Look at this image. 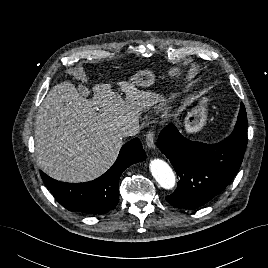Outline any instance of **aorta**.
<instances>
[{"label": "aorta", "instance_id": "762f6f07", "mask_svg": "<svg viewBox=\"0 0 268 268\" xmlns=\"http://www.w3.org/2000/svg\"><path fill=\"white\" fill-rule=\"evenodd\" d=\"M149 168L153 177L162 188L170 190L175 186L174 172L165 161L153 159L150 161Z\"/></svg>", "mask_w": 268, "mask_h": 268}]
</instances>
